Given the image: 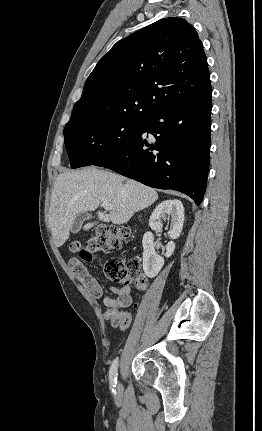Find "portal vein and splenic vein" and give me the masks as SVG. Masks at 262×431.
I'll return each mask as SVG.
<instances>
[{
	"instance_id": "obj_1",
	"label": "portal vein and splenic vein",
	"mask_w": 262,
	"mask_h": 431,
	"mask_svg": "<svg viewBox=\"0 0 262 431\" xmlns=\"http://www.w3.org/2000/svg\"><path fill=\"white\" fill-rule=\"evenodd\" d=\"M102 206L105 210H111L112 209L111 204H109L108 202H103Z\"/></svg>"
}]
</instances>
